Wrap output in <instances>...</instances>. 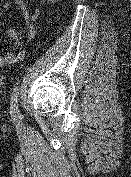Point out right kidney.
Here are the masks:
<instances>
[{
  "label": "right kidney",
  "instance_id": "right-kidney-1",
  "mask_svg": "<svg viewBox=\"0 0 131 177\" xmlns=\"http://www.w3.org/2000/svg\"><path fill=\"white\" fill-rule=\"evenodd\" d=\"M48 1H51V2H53V3H54V2H56L57 0H48Z\"/></svg>",
  "mask_w": 131,
  "mask_h": 177
}]
</instances>
